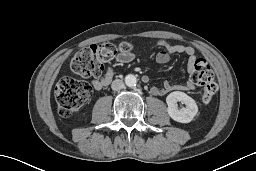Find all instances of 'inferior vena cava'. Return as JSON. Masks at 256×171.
I'll list each match as a JSON object with an SVG mask.
<instances>
[{
    "mask_svg": "<svg viewBox=\"0 0 256 171\" xmlns=\"http://www.w3.org/2000/svg\"><path fill=\"white\" fill-rule=\"evenodd\" d=\"M111 88L114 91H119L124 88V82L120 79H115L111 84Z\"/></svg>",
    "mask_w": 256,
    "mask_h": 171,
    "instance_id": "inferior-vena-cava-1",
    "label": "inferior vena cava"
}]
</instances>
